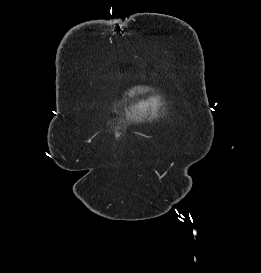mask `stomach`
<instances>
[{"instance_id":"0dacf381","label":"stomach","mask_w":261,"mask_h":273,"mask_svg":"<svg viewBox=\"0 0 261 273\" xmlns=\"http://www.w3.org/2000/svg\"><path fill=\"white\" fill-rule=\"evenodd\" d=\"M130 99L136 100V101H138V102H141V101L143 102V101H144L143 99L136 98V97H135V94H131V95H130Z\"/></svg>"}]
</instances>
